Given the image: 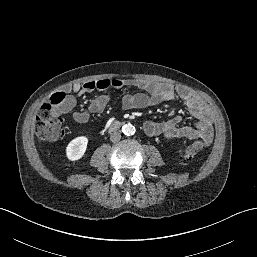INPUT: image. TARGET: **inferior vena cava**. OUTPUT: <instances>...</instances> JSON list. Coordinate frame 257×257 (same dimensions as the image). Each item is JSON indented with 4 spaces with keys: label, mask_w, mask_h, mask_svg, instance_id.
I'll list each match as a JSON object with an SVG mask.
<instances>
[{
    "label": "inferior vena cava",
    "mask_w": 257,
    "mask_h": 257,
    "mask_svg": "<svg viewBox=\"0 0 257 257\" xmlns=\"http://www.w3.org/2000/svg\"><path fill=\"white\" fill-rule=\"evenodd\" d=\"M121 139V134L119 132H113L110 136V140L115 143Z\"/></svg>",
    "instance_id": "inferior-vena-cava-1"
}]
</instances>
